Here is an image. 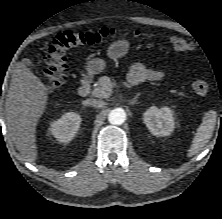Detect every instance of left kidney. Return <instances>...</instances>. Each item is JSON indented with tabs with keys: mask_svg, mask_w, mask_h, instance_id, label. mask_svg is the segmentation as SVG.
<instances>
[{
	"mask_svg": "<svg viewBox=\"0 0 222 219\" xmlns=\"http://www.w3.org/2000/svg\"><path fill=\"white\" fill-rule=\"evenodd\" d=\"M148 130L154 136H168L175 128L174 114L171 108L151 106L143 115Z\"/></svg>",
	"mask_w": 222,
	"mask_h": 219,
	"instance_id": "5707ae66",
	"label": "left kidney"
}]
</instances>
